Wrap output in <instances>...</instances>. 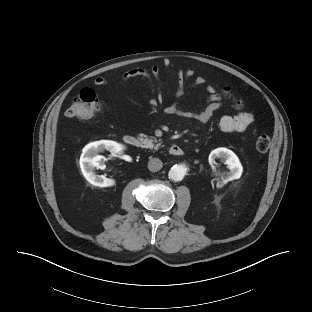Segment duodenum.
<instances>
[{
  "label": "duodenum",
  "instance_id": "duodenum-1",
  "mask_svg": "<svg viewBox=\"0 0 312 312\" xmlns=\"http://www.w3.org/2000/svg\"><path fill=\"white\" fill-rule=\"evenodd\" d=\"M123 141L126 145L138 148L142 145L140 139L134 135H125ZM183 148L179 145H173L170 148V153L174 156H181L183 154Z\"/></svg>",
  "mask_w": 312,
  "mask_h": 312
}]
</instances>
